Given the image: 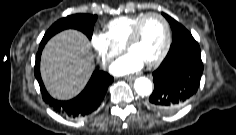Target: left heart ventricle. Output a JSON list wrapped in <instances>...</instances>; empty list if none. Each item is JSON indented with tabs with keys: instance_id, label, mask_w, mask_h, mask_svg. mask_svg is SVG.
I'll return each instance as SVG.
<instances>
[{
	"instance_id": "b2bd125f",
	"label": "left heart ventricle",
	"mask_w": 236,
	"mask_h": 135,
	"mask_svg": "<svg viewBox=\"0 0 236 135\" xmlns=\"http://www.w3.org/2000/svg\"><path fill=\"white\" fill-rule=\"evenodd\" d=\"M164 42V25L159 18L151 16L143 22L139 38L128 52L137 55L146 63L154 60L160 54Z\"/></svg>"
}]
</instances>
